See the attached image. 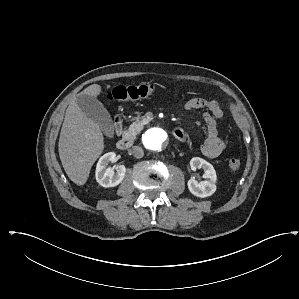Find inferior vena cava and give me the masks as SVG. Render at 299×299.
I'll return each mask as SVG.
<instances>
[{
  "label": "inferior vena cava",
  "instance_id": "obj_1",
  "mask_svg": "<svg viewBox=\"0 0 299 299\" xmlns=\"http://www.w3.org/2000/svg\"><path fill=\"white\" fill-rule=\"evenodd\" d=\"M131 152L133 156L137 159H140L144 156V151L140 146H133Z\"/></svg>",
  "mask_w": 299,
  "mask_h": 299
}]
</instances>
